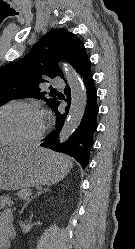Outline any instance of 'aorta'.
Wrapping results in <instances>:
<instances>
[{"instance_id":"762f6f07","label":"aorta","mask_w":135,"mask_h":249,"mask_svg":"<svg viewBox=\"0 0 135 249\" xmlns=\"http://www.w3.org/2000/svg\"><path fill=\"white\" fill-rule=\"evenodd\" d=\"M64 69L66 80L71 89V105L68 117L59 134L60 143L67 141L77 129L84 115L86 105V90L79 75L70 65H66Z\"/></svg>"}]
</instances>
